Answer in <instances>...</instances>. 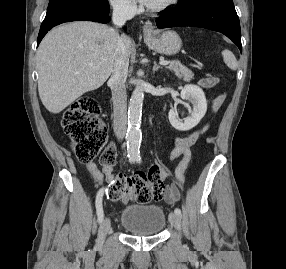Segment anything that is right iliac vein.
Returning <instances> with one entry per match:
<instances>
[{"mask_svg":"<svg viewBox=\"0 0 286 269\" xmlns=\"http://www.w3.org/2000/svg\"><path fill=\"white\" fill-rule=\"evenodd\" d=\"M111 221L109 218H105L99 228L98 232V247H102L105 237L110 229Z\"/></svg>","mask_w":286,"mask_h":269,"instance_id":"1","label":"right iliac vein"}]
</instances>
